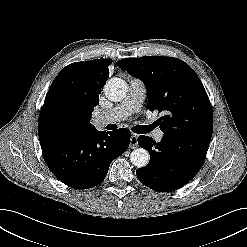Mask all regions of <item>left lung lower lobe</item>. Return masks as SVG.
Returning a JSON list of instances; mask_svg holds the SVG:
<instances>
[{"instance_id": "0a47b994", "label": "left lung lower lobe", "mask_w": 247, "mask_h": 247, "mask_svg": "<svg viewBox=\"0 0 247 247\" xmlns=\"http://www.w3.org/2000/svg\"><path fill=\"white\" fill-rule=\"evenodd\" d=\"M140 147L150 154L147 166L136 171L145 186L160 192L175 191L188 183L202 167L209 143L165 135L159 143L141 135Z\"/></svg>"}]
</instances>
